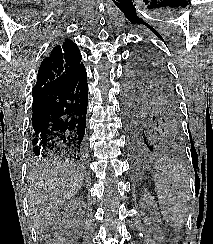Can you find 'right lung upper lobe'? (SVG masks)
I'll return each instance as SVG.
<instances>
[{
  "label": "right lung upper lobe",
  "mask_w": 213,
  "mask_h": 244,
  "mask_svg": "<svg viewBox=\"0 0 213 244\" xmlns=\"http://www.w3.org/2000/svg\"><path fill=\"white\" fill-rule=\"evenodd\" d=\"M81 53L70 39L60 40L45 58L38 70L36 86L40 89H55L73 80L83 69Z\"/></svg>",
  "instance_id": "right-lung-upper-lobe-1"
}]
</instances>
